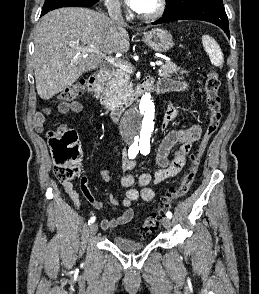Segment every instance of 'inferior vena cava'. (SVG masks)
<instances>
[{"instance_id": "inferior-vena-cava-1", "label": "inferior vena cava", "mask_w": 259, "mask_h": 294, "mask_svg": "<svg viewBox=\"0 0 259 294\" xmlns=\"http://www.w3.org/2000/svg\"><path fill=\"white\" fill-rule=\"evenodd\" d=\"M110 20L117 28H122L125 25V21L122 16L120 4L118 2L111 3L108 7Z\"/></svg>"}]
</instances>
